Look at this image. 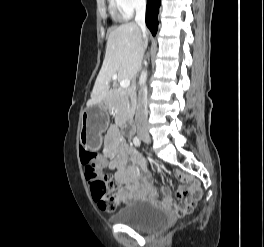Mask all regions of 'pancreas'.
<instances>
[{
    "mask_svg": "<svg viewBox=\"0 0 264 247\" xmlns=\"http://www.w3.org/2000/svg\"><path fill=\"white\" fill-rule=\"evenodd\" d=\"M134 91L120 88L112 92L108 99L109 107L115 112L117 123H123L128 120L134 107Z\"/></svg>",
    "mask_w": 264,
    "mask_h": 247,
    "instance_id": "obj_1",
    "label": "pancreas"
}]
</instances>
